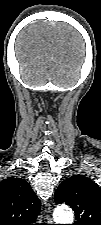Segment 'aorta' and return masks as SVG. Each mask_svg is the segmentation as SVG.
<instances>
[{"instance_id": "aorta-1", "label": "aorta", "mask_w": 101, "mask_h": 225, "mask_svg": "<svg viewBox=\"0 0 101 225\" xmlns=\"http://www.w3.org/2000/svg\"><path fill=\"white\" fill-rule=\"evenodd\" d=\"M53 217L56 224H72L74 214L68 206L61 205L54 210Z\"/></svg>"}]
</instances>
